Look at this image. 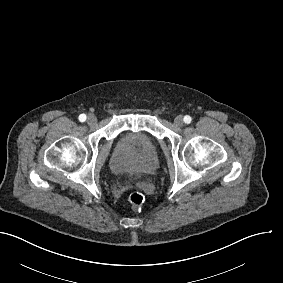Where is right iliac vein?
<instances>
[{
	"mask_svg": "<svg viewBox=\"0 0 283 283\" xmlns=\"http://www.w3.org/2000/svg\"><path fill=\"white\" fill-rule=\"evenodd\" d=\"M87 122L89 124H94L96 122V117L94 115H92V114L88 115Z\"/></svg>",
	"mask_w": 283,
	"mask_h": 283,
	"instance_id": "1",
	"label": "right iliac vein"
}]
</instances>
